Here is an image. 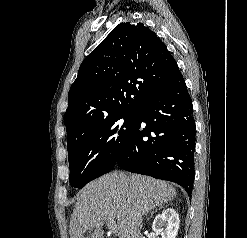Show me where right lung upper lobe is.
Instances as JSON below:
<instances>
[{
  "mask_svg": "<svg viewBox=\"0 0 247 238\" xmlns=\"http://www.w3.org/2000/svg\"><path fill=\"white\" fill-rule=\"evenodd\" d=\"M165 44L144 24L120 23L82 62L68 93L67 146L87 129L136 113L179 73Z\"/></svg>",
  "mask_w": 247,
  "mask_h": 238,
  "instance_id": "right-lung-upper-lobe-1",
  "label": "right lung upper lobe"
}]
</instances>
